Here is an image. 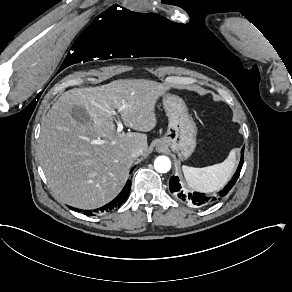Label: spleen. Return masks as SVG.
Instances as JSON below:
<instances>
[{
  "label": "spleen",
  "instance_id": "1",
  "mask_svg": "<svg viewBox=\"0 0 292 292\" xmlns=\"http://www.w3.org/2000/svg\"><path fill=\"white\" fill-rule=\"evenodd\" d=\"M236 162V151H230L222 163L203 168L182 166L185 179L195 191L209 193L220 190L231 178Z\"/></svg>",
  "mask_w": 292,
  "mask_h": 292
}]
</instances>
